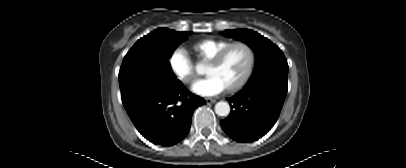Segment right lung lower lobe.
<instances>
[{
  "mask_svg": "<svg viewBox=\"0 0 406 168\" xmlns=\"http://www.w3.org/2000/svg\"><path fill=\"white\" fill-rule=\"evenodd\" d=\"M205 103L203 98L190 93L177 80L124 107L137 130L147 140L171 146L188 134L195 108Z\"/></svg>",
  "mask_w": 406,
  "mask_h": 168,
  "instance_id": "1",
  "label": "right lung lower lobe"
}]
</instances>
